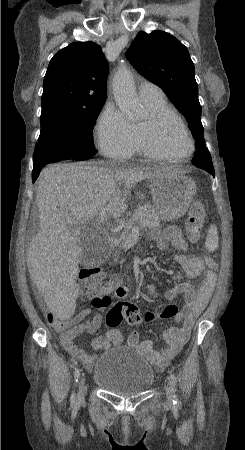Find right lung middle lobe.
Returning a JSON list of instances; mask_svg holds the SVG:
<instances>
[{
  "instance_id": "1",
  "label": "right lung middle lobe",
  "mask_w": 245,
  "mask_h": 450,
  "mask_svg": "<svg viewBox=\"0 0 245 450\" xmlns=\"http://www.w3.org/2000/svg\"><path fill=\"white\" fill-rule=\"evenodd\" d=\"M102 107L103 104L91 109H74L56 105L42 109L33 169L67 156L94 155L92 126Z\"/></svg>"
}]
</instances>
